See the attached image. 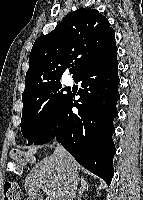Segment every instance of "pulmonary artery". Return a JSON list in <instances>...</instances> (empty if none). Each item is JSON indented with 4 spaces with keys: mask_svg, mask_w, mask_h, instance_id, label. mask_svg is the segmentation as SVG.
Returning a JSON list of instances; mask_svg holds the SVG:
<instances>
[{
    "mask_svg": "<svg viewBox=\"0 0 143 200\" xmlns=\"http://www.w3.org/2000/svg\"><path fill=\"white\" fill-rule=\"evenodd\" d=\"M66 84H67V85H71V84H72V80H71L70 78L67 79V80H66Z\"/></svg>",
    "mask_w": 143,
    "mask_h": 200,
    "instance_id": "obj_1",
    "label": "pulmonary artery"
}]
</instances>
